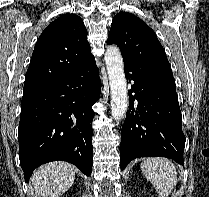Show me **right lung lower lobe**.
I'll use <instances>...</instances> for the list:
<instances>
[{
	"instance_id": "right-lung-lower-lobe-1",
	"label": "right lung lower lobe",
	"mask_w": 209,
	"mask_h": 197,
	"mask_svg": "<svg viewBox=\"0 0 209 197\" xmlns=\"http://www.w3.org/2000/svg\"><path fill=\"white\" fill-rule=\"evenodd\" d=\"M100 87L93 57L58 80L23 91L18 141L26 181L35 168L55 160L91 174L92 105L99 99Z\"/></svg>"
}]
</instances>
